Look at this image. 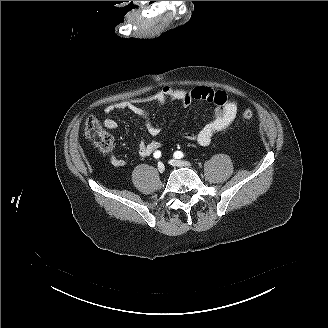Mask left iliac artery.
<instances>
[{
    "label": "left iliac artery",
    "instance_id": "obj_1",
    "mask_svg": "<svg viewBox=\"0 0 328 328\" xmlns=\"http://www.w3.org/2000/svg\"><path fill=\"white\" fill-rule=\"evenodd\" d=\"M174 157H175L176 159H180V158L183 157V153H182L181 151H176V152L174 153Z\"/></svg>",
    "mask_w": 328,
    "mask_h": 328
}]
</instances>
